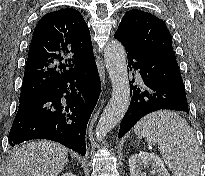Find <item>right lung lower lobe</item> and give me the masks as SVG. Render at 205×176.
Returning a JSON list of instances; mask_svg holds the SVG:
<instances>
[{
	"instance_id": "98d812e1",
	"label": "right lung lower lobe",
	"mask_w": 205,
	"mask_h": 176,
	"mask_svg": "<svg viewBox=\"0 0 205 176\" xmlns=\"http://www.w3.org/2000/svg\"><path fill=\"white\" fill-rule=\"evenodd\" d=\"M99 94L100 79L93 57L19 105L9 133L10 145L49 139L84 156L86 127Z\"/></svg>"
}]
</instances>
